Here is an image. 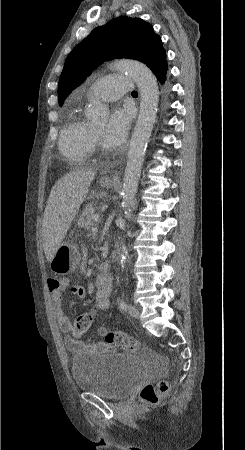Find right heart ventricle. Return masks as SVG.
I'll return each mask as SVG.
<instances>
[{
    "instance_id": "1",
    "label": "right heart ventricle",
    "mask_w": 245,
    "mask_h": 450,
    "mask_svg": "<svg viewBox=\"0 0 245 450\" xmlns=\"http://www.w3.org/2000/svg\"><path fill=\"white\" fill-rule=\"evenodd\" d=\"M93 147L91 123L77 110H73L60 134V151L77 162H85Z\"/></svg>"
}]
</instances>
